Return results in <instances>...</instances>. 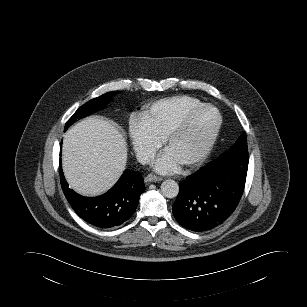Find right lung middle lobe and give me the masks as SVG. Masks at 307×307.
Returning a JSON list of instances; mask_svg holds the SVG:
<instances>
[{"label": "right lung middle lobe", "instance_id": "1", "mask_svg": "<svg viewBox=\"0 0 307 307\" xmlns=\"http://www.w3.org/2000/svg\"><path fill=\"white\" fill-rule=\"evenodd\" d=\"M116 92H108L106 94H103L100 97L94 98L90 100L89 102L85 103L83 106H81L74 114L73 116L68 120V122L65 125V130L74 123L77 119L83 118L95 111L101 110L109 101L111 96H113Z\"/></svg>", "mask_w": 307, "mask_h": 307}]
</instances>
